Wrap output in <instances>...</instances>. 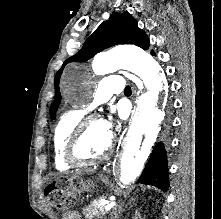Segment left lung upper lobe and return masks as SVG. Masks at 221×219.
<instances>
[{
  "label": "left lung upper lobe",
  "instance_id": "5c2ea615",
  "mask_svg": "<svg viewBox=\"0 0 221 219\" xmlns=\"http://www.w3.org/2000/svg\"><path fill=\"white\" fill-rule=\"evenodd\" d=\"M137 20L128 12H114L109 20L102 22L92 35L86 40L81 50L67 59L62 68L56 73L55 98L50 107L51 118L54 119L61 102L59 81L63 68L70 62H84L98 52L119 44H134L146 50L150 46L146 33L137 26Z\"/></svg>",
  "mask_w": 221,
  "mask_h": 219
}]
</instances>
